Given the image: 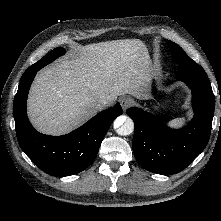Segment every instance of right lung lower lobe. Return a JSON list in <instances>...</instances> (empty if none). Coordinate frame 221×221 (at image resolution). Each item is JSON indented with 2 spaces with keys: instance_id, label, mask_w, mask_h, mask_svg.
Wrapping results in <instances>:
<instances>
[{
  "instance_id": "98d812e1",
  "label": "right lung lower lobe",
  "mask_w": 221,
  "mask_h": 221,
  "mask_svg": "<svg viewBox=\"0 0 221 221\" xmlns=\"http://www.w3.org/2000/svg\"><path fill=\"white\" fill-rule=\"evenodd\" d=\"M41 68L30 67L21 77L13 107L17 138L26 155L47 174L73 175L94 161L110 125L122 114V108L117 103L63 136L41 134L30 124L26 111L30 85Z\"/></svg>"
}]
</instances>
